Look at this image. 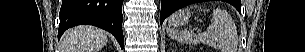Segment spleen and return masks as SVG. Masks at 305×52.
<instances>
[{
    "label": "spleen",
    "mask_w": 305,
    "mask_h": 52,
    "mask_svg": "<svg viewBox=\"0 0 305 52\" xmlns=\"http://www.w3.org/2000/svg\"><path fill=\"white\" fill-rule=\"evenodd\" d=\"M212 15L211 25L203 33L195 34L192 31H178L174 28H168L167 32L172 39L181 43H203L220 52H231L230 36L234 31V24L230 15L220 9H214Z\"/></svg>",
    "instance_id": "spleen-1"
}]
</instances>
